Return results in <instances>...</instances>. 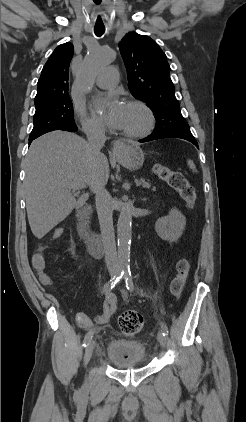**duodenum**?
I'll use <instances>...</instances> for the list:
<instances>
[{"mask_svg":"<svg viewBox=\"0 0 246 422\" xmlns=\"http://www.w3.org/2000/svg\"><path fill=\"white\" fill-rule=\"evenodd\" d=\"M90 212V207H83L76 216V228L79 235L87 244L90 252L96 256L100 257L103 254V246L100 237L92 232L88 226V216Z\"/></svg>","mask_w":246,"mask_h":422,"instance_id":"duodenum-1","label":"duodenum"}]
</instances>
